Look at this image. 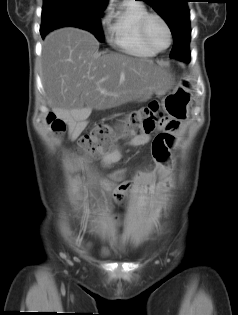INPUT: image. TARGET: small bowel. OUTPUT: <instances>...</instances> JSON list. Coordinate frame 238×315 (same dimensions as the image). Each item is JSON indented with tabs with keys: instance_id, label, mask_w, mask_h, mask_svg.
Masks as SVG:
<instances>
[{
	"instance_id": "1",
	"label": "small bowel",
	"mask_w": 238,
	"mask_h": 315,
	"mask_svg": "<svg viewBox=\"0 0 238 315\" xmlns=\"http://www.w3.org/2000/svg\"><path fill=\"white\" fill-rule=\"evenodd\" d=\"M168 129H172L174 125L169 122L166 123ZM84 128L83 121H77L70 124L71 138H75ZM153 147V156L158 162V167L151 173H142L134 171L132 168H122L114 170L104 180L105 184L114 188L116 198L119 202H124L128 194L137 189L142 183H148L156 178L164 176L166 171L170 168V158L168 148L179 147V140H172L171 136L167 133H160L150 140L149 134H140L133 136L125 145V147H137L147 144ZM124 147L115 148L104 153L101 158V163L106 168H111L113 164L119 161L122 157ZM124 222L123 217L118 216L115 218L114 226L110 231L112 239L111 249L115 251H123L126 247V239L118 231V227ZM108 249L104 250L107 254Z\"/></svg>"
}]
</instances>
